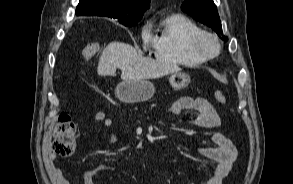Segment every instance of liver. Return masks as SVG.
<instances>
[{"instance_id": "1", "label": "liver", "mask_w": 293, "mask_h": 184, "mask_svg": "<svg viewBox=\"0 0 293 184\" xmlns=\"http://www.w3.org/2000/svg\"><path fill=\"white\" fill-rule=\"evenodd\" d=\"M117 69L122 72V80L155 79L181 70L174 63L143 57L131 45L114 41L102 51L97 73L115 76Z\"/></svg>"}]
</instances>
